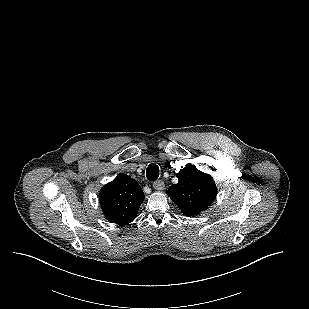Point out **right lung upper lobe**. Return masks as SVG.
Returning a JSON list of instances; mask_svg holds the SVG:
<instances>
[{"instance_id": "1", "label": "right lung upper lobe", "mask_w": 309, "mask_h": 309, "mask_svg": "<svg viewBox=\"0 0 309 309\" xmlns=\"http://www.w3.org/2000/svg\"><path fill=\"white\" fill-rule=\"evenodd\" d=\"M144 198V193L136 180L124 173L116 176L99 193L105 217L116 224L132 222Z\"/></svg>"}]
</instances>
